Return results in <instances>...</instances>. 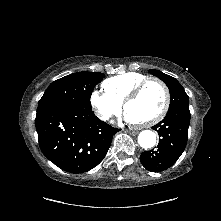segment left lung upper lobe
<instances>
[{"mask_svg": "<svg viewBox=\"0 0 221 221\" xmlns=\"http://www.w3.org/2000/svg\"><path fill=\"white\" fill-rule=\"evenodd\" d=\"M149 72L161 79L168 86L171 96L169 109L175 107H189V97L176 78L154 69L149 70Z\"/></svg>", "mask_w": 221, "mask_h": 221, "instance_id": "1", "label": "left lung upper lobe"}]
</instances>
